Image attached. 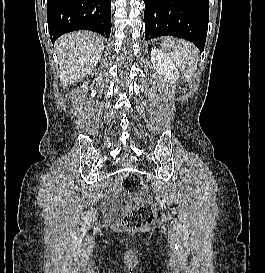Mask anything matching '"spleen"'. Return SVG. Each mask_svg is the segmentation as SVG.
Returning <instances> with one entry per match:
<instances>
[{"label": "spleen", "mask_w": 265, "mask_h": 273, "mask_svg": "<svg viewBox=\"0 0 265 273\" xmlns=\"http://www.w3.org/2000/svg\"><path fill=\"white\" fill-rule=\"evenodd\" d=\"M162 48L187 77L192 76L197 67L198 56L197 49L192 44L180 39L166 38Z\"/></svg>", "instance_id": "1"}]
</instances>
